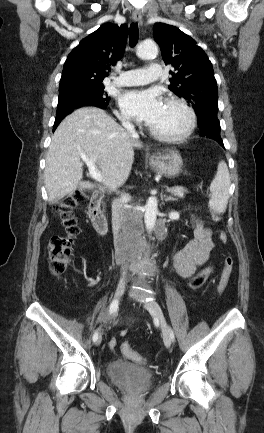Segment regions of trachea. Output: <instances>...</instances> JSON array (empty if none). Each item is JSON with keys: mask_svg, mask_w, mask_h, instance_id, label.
Wrapping results in <instances>:
<instances>
[{"mask_svg": "<svg viewBox=\"0 0 264 433\" xmlns=\"http://www.w3.org/2000/svg\"><path fill=\"white\" fill-rule=\"evenodd\" d=\"M138 34H139L138 23L137 22L132 23L129 29V42L131 47H134L136 45Z\"/></svg>", "mask_w": 264, "mask_h": 433, "instance_id": "obj_1", "label": "trachea"}]
</instances>
